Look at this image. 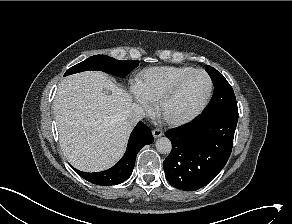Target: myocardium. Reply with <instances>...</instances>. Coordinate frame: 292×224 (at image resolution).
Returning a JSON list of instances; mask_svg holds the SVG:
<instances>
[{
	"mask_svg": "<svg viewBox=\"0 0 292 224\" xmlns=\"http://www.w3.org/2000/svg\"><path fill=\"white\" fill-rule=\"evenodd\" d=\"M204 74L209 82V88H208V92L206 94V97L204 98V100L201 102V104L190 114L181 117V118H168L165 116L164 114V109L166 107V105L177 95V93L179 92V90L181 89V87L183 86V84L193 75L195 74ZM213 89H214V84H213V80L210 76V74L203 70V69H195L187 74H185L184 76H182L180 79H178L158 100H157V105H156V113L158 115V117L165 122L166 124L170 125V126H181L184 124H187L189 122H191L192 120H194L196 117H198L203 111L204 109L207 107L208 103L210 102V99L212 97V93H213Z\"/></svg>",
	"mask_w": 292,
	"mask_h": 224,
	"instance_id": "myocardium-1",
	"label": "myocardium"
}]
</instances>
